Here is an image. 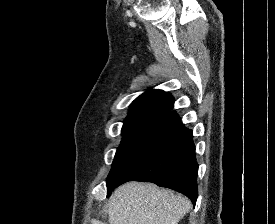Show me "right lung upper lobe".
Here are the masks:
<instances>
[{"instance_id": "1", "label": "right lung upper lobe", "mask_w": 275, "mask_h": 224, "mask_svg": "<svg viewBox=\"0 0 275 224\" xmlns=\"http://www.w3.org/2000/svg\"><path fill=\"white\" fill-rule=\"evenodd\" d=\"M174 98L162 90H147L130 105L129 115L143 112L167 113L173 108Z\"/></svg>"}]
</instances>
